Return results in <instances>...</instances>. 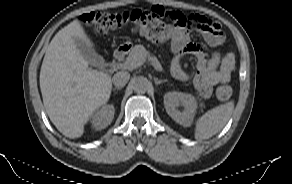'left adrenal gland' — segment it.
Returning a JSON list of instances; mask_svg holds the SVG:
<instances>
[{
  "mask_svg": "<svg viewBox=\"0 0 292 184\" xmlns=\"http://www.w3.org/2000/svg\"><path fill=\"white\" fill-rule=\"evenodd\" d=\"M154 80H155V84H156V85H159V84H161V83L167 82L166 79H164V80H159L158 78H155Z\"/></svg>",
  "mask_w": 292,
  "mask_h": 184,
  "instance_id": "1",
  "label": "left adrenal gland"
}]
</instances>
